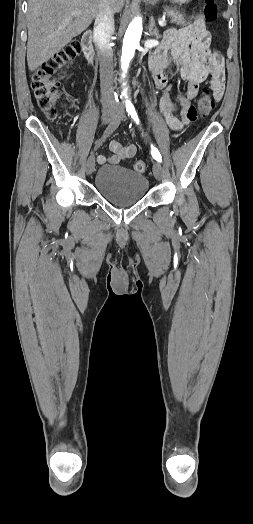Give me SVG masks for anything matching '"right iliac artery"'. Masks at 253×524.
Instances as JSON below:
<instances>
[{
	"label": "right iliac artery",
	"instance_id": "right-iliac-artery-1",
	"mask_svg": "<svg viewBox=\"0 0 253 524\" xmlns=\"http://www.w3.org/2000/svg\"><path fill=\"white\" fill-rule=\"evenodd\" d=\"M121 120H122V117L119 114H117L113 118V120L110 122V124L105 129L102 137L95 142V146L91 152V156L100 147V145H102V143L106 140V138L109 137L118 128V126L121 123Z\"/></svg>",
	"mask_w": 253,
	"mask_h": 524
}]
</instances>
